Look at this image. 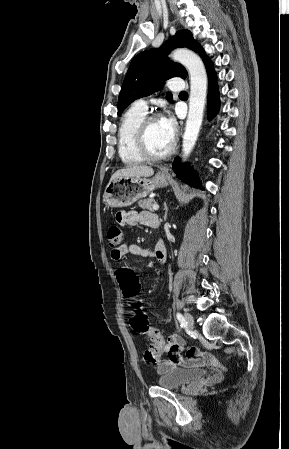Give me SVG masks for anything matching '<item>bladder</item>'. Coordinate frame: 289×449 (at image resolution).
I'll list each match as a JSON object with an SVG mask.
<instances>
[{
    "label": "bladder",
    "mask_w": 289,
    "mask_h": 449,
    "mask_svg": "<svg viewBox=\"0 0 289 449\" xmlns=\"http://www.w3.org/2000/svg\"><path fill=\"white\" fill-rule=\"evenodd\" d=\"M206 374L207 371L200 368H175L160 375L157 384L162 388L178 389L200 380Z\"/></svg>",
    "instance_id": "31cf9c89"
}]
</instances>
